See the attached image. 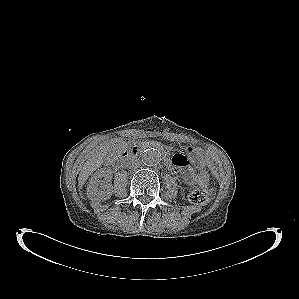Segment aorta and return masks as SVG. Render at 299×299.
<instances>
[{
    "label": "aorta",
    "mask_w": 299,
    "mask_h": 299,
    "mask_svg": "<svg viewBox=\"0 0 299 299\" xmlns=\"http://www.w3.org/2000/svg\"><path fill=\"white\" fill-rule=\"evenodd\" d=\"M142 159L147 165H155L161 160V153L156 148H148L144 151Z\"/></svg>",
    "instance_id": "1"
}]
</instances>
